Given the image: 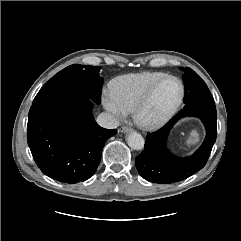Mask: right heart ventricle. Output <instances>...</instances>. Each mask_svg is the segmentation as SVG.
Instances as JSON below:
<instances>
[{
    "label": "right heart ventricle",
    "mask_w": 241,
    "mask_h": 241,
    "mask_svg": "<svg viewBox=\"0 0 241 241\" xmlns=\"http://www.w3.org/2000/svg\"><path fill=\"white\" fill-rule=\"evenodd\" d=\"M163 72H140L123 75L114 79L110 90L127 110L131 111L148 88L165 76Z\"/></svg>",
    "instance_id": "1"
}]
</instances>
